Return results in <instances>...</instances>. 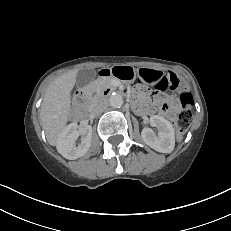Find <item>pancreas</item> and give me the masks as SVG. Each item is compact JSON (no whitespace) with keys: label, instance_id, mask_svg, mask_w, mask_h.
Instances as JSON below:
<instances>
[{"label":"pancreas","instance_id":"cf45deb5","mask_svg":"<svg viewBox=\"0 0 231 231\" xmlns=\"http://www.w3.org/2000/svg\"><path fill=\"white\" fill-rule=\"evenodd\" d=\"M109 84V81H105L104 83H103V86H106V85H108Z\"/></svg>","mask_w":231,"mask_h":231}]
</instances>
